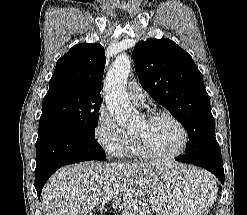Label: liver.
Wrapping results in <instances>:
<instances>
[{
  "mask_svg": "<svg viewBox=\"0 0 247 215\" xmlns=\"http://www.w3.org/2000/svg\"><path fill=\"white\" fill-rule=\"evenodd\" d=\"M176 162L141 164L84 162L57 171L42 190L45 215H92V209L110 198L123 206L150 193Z\"/></svg>",
  "mask_w": 247,
  "mask_h": 215,
  "instance_id": "1",
  "label": "liver"
}]
</instances>
